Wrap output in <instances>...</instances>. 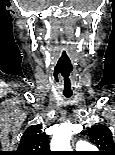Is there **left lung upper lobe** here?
Masks as SVG:
<instances>
[{
  "mask_svg": "<svg viewBox=\"0 0 115 155\" xmlns=\"http://www.w3.org/2000/svg\"><path fill=\"white\" fill-rule=\"evenodd\" d=\"M88 134L93 144L100 147L98 155H115V143L111 130L102 124L88 128Z\"/></svg>",
  "mask_w": 115,
  "mask_h": 155,
  "instance_id": "1",
  "label": "left lung upper lobe"
}]
</instances>
